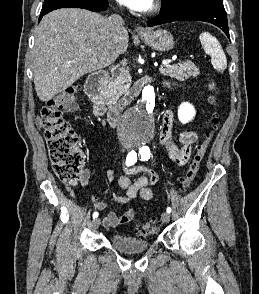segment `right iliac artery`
Returning <instances> with one entry per match:
<instances>
[{
  "mask_svg": "<svg viewBox=\"0 0 259 294\" xmlns=\"http://www.w3.org/2000/svg\"><path fill=\"white\" fill-rule=\"evenodd\" d=\"M137 161V154L134 150H132L131 152L128 153L127 157H126V165L127 166H131L134 165ZM98 217V212H94L93 213V219Z\"/></svg>",
  "mask_w": 259,
  "mask_h": 294,
  "instance_id": "1",
  "label": "right iliac artery"
}]
</instances>
